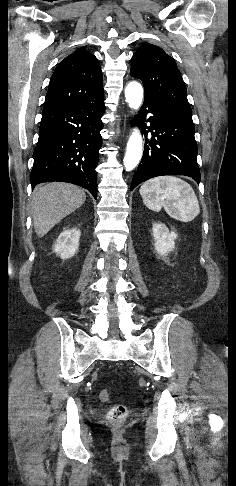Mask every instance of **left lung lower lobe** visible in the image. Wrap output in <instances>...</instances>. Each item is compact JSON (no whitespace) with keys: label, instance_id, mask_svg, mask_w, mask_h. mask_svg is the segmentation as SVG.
Masks as SVG:
<instances>
[{"label":"left lung lower lobe","instance_id":"1","mask_svg":"<svg viewBox=\"0 0 236 486\" xmlns=\"http://www.w3.org/2000/svg\"><path fill=\"white\" fill-rule=\"evenodd\" d=\"M139 120L150 122V126L145 127V123L144 128L141 126L145 134V148L130 190L150 178L163 175H185L199 183L201 175L192 119L178 116L156 100L145 97L137 118L140 127ZM149 132L152 135L150 141L147 139Z\"/></svg>","mask_w":236,"mask_h":486}]
</instances>
